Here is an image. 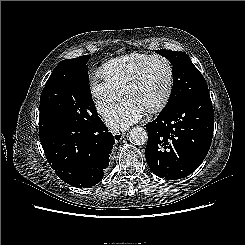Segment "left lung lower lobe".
<instances>
[{"instance_id": "0a47b994", "label": "left lung lower lobe", "mask_w": 245, "mask_h": 245, "mask_svg": "<svg viewBox=\"0 0 245 245\" xmlns=\"http://www.w3.org/2000/svg\"><path fill=\"white\" fill-rule=\"evenodd\" d=\"M145 157L158 177L177 180L194 172L206 157L214 129L209 92L196 93L145 125Z\"/></svg>"}]
</instances>
